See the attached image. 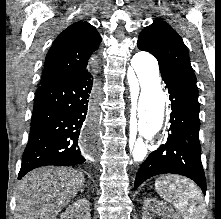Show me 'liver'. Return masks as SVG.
<instances>
[{
    "label": "liver",
    "mask_w": 221,
    "mask_h": 219,
    "mask_svg": "<svg viewBox=\"0 0 221 219\" xmlns=\"http://www.w3.org/2000/svg\"><path fill=\"white\" fill-rule=\"evenodd\" d=\"M84 185V175L73 169L33 170L17 187L16 219H56Z\"/></svg>",
    "instance_id": "1"
}]
</instances>
